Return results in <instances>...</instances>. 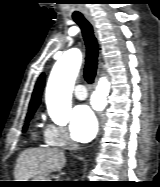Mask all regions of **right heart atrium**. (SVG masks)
Wrapping results in <instances>:
<instances>
[{
    "instance_id": "d8ad5b80",
    "label": "right heart atrium",
    "mask_w": 160,
    "mask_h": 187,
    "mask_svg": "<svg viewBox=\"0 0 160 187\" xmlns=\"http://www.w3.org/2000/svg\"><path fill=\"white\" fill-rule=\"evenodd\" d=\"M44 140L47 145L53 147H68L73 141L64 127L47 123L43 131Z\"/></svg>"
}]
</instances>
